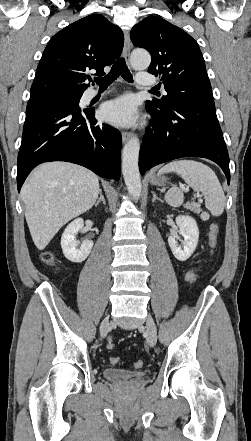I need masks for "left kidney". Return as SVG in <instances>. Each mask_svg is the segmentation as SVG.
<instances>
[{
    "label": "left kidney",
    "instance_id": "5707ae66",
    "mask_svg": "<svg viewBox=\"0 0 251 441\" xmlns=\"http://www.w3.org/2000/svg\"><path fill=\"white\" fill-rule=\"evenodd\" d=\"M176 224L179 227V234L184 237L183 246H178V235L169 236L168 243L175 258L186 261L198 245L199 229L195 219L189 215L177 216Z\"/></svg>",
    "mask_w": 251,
    "mask_h": 441
}]
</instances>
